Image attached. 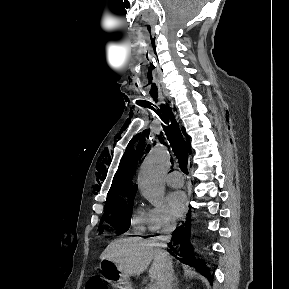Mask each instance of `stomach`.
Here are the masks:
<instances>
[{
    "mask_svg": "<svg viewBox=\"0 0 289 289\" xmlns=\"http://www.w3.org/2000/svg\"><path fill=\"white\" fill-rule=\"evenodd\" d=\"M99 269L106 275L107 280L118 289H132L129 281V276L120 272L116 265L107 259H102L99 264Z\"/></svg>",
    "mask_w": 289,
    "mask_h": 289,
    "instance_id": "0dacf381",
    "label": "stomach"
}]
</instances>
